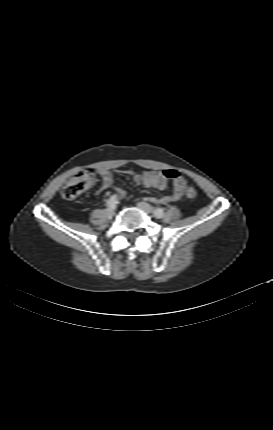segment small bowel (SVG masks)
Listing matches in <instances>:
<instances>
[{
	"label": "small bowel",
	"mask_w": 273,
	"mask_h": 430,
	"mask_svg": "<svg viewBox=\"0 0 273 430\" xmlns=\"http://www.w3.org/2000/svg\"><path fill=\"white\" fill-rule=\"evenodd\" d=\"M134 182L140 186L150 188L154 187L160 190L167 188L169 181H172L173 190L172 194L153 197L152 201L161 204H167L170 202L178 201L184 194L186 188L185 179L174 170H164V171H145L141 173L128 172ZM101 176V186L98 188L97 193H100L106 189L113 188L115 193L121 198L125 196V192L113 185V175L108 169L99 170Z\"/></svg>",
	"instance_id": "1"
}]
</instances>
